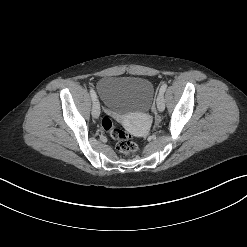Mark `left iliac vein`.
<instances>
[{
  "label": "left iliac vein",
  "mask_w": 247,
  "mask_h": 247,
  "mask_svg": "<svg viewBox=\"0 0 247 247\" xmlns=\"http://www.w3.org/2000/svg\"><path fill=\"white\" fill-rule=\"evenodd\" d=\"M157 103V108L159 112H163L165 109V102H164V97L162 93H159L156 99Z\"/></svg>",
  "instance_id": "4c4485c4"
}]
</instances>
